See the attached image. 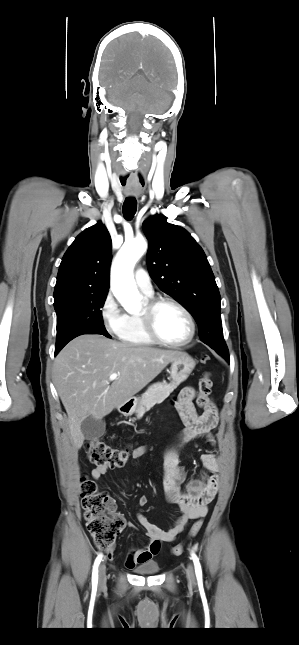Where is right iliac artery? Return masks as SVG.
<instances>
[{
	"label": "right iliac artery",
	"instance_id": "82829eb1",
	"mask_svg": "<svg viewBox=\"0 0 299 645\" xmlns=\"http://www.w3.org/2000/svg\"><path fill=\"white\" fill-rule=\"evenodd\" d=\"M102 560V555H98L97 558L95 559L94 566H93V572H92V586L96 587L98 583V566Z\"/></svg>",
	"mask_w": 299,
	"mask_h": 645
}]
</instances>
